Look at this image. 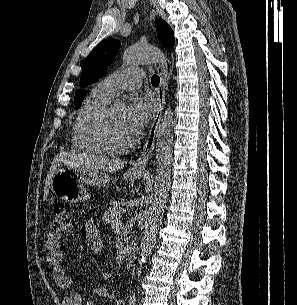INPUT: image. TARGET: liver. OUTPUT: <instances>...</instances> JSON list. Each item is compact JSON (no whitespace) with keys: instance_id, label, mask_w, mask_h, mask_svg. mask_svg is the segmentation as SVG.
<instances>
[{"instance_id":"6515ba94","label":"liver","mask_w":297,"mask_h":305,"mask_svg":"<svg viewBox=\"0 0 297 305\" xmlns=\"http://www.w3.org/2000/svg\"><path fill=\"white\" fill-rule=\"evenodd\" d=\"M126 161L121 159H113L102 156H94L88 154H78L73 152H60L57 154L50 166L47 174L45 187H44V200L47 199L51 178L61 166H70L73 168H85L95 171L115 172L122 169Z\"/></svg>"}]
</instances>
